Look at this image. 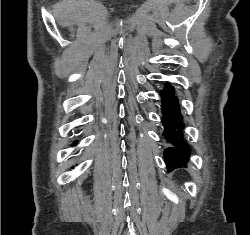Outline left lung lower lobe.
I'll list each match as a JSON object with an SVG mask.
<instances>
[{
	"label": "left lung lower lobe",
	"instance_id": "1",
	"mask_svg": "<svg viewBox=\"0 0 250 235\" xmlns=\"http://www.w3.org/2000/svg\"><path fill=\"white\" fill-rule=\"evenodd\" d=\"M174 94L175 89L169 84L160 93L163 102V123L165 126L163 135L171 144V147L166 148L164 152L168 170L185 167L190 154L189 148L183 140L180 108L175 103L176 97Z\"/></svg>",
	"mask_w": 250,
	"mask_h": 235
}]
</instances>
